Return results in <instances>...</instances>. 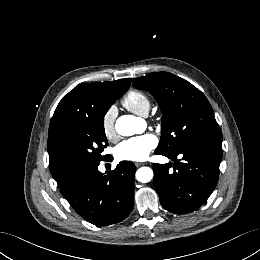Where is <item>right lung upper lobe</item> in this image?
I'll return each instance as SVG.
<instances>
[{"instance_id":"right-lung-upper-lobe-1","label":"right lung upper lobe","mask_w":260,"mask_h":260,"mask_svg":"<svg viewBox=\"0 0 260 260\" xmlns=\"http://www.w3.org/2000/svg\"><path fill=\"white\" fill-rule=\"evenodd\" d=\"M130 78L112 82L82 84L70 91L58 104L49 126V167L58 185H62L72 173L67 165L64 148L76 123L91 113L97 100L104 95L124 94Z\"/></svg>"}]
</instances>
